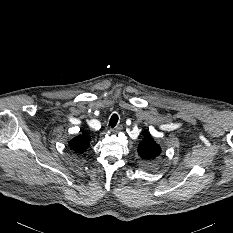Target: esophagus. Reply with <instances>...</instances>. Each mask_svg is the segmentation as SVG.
Returning a JSON list of instances; mask_svg holds the SVG:
<instances>
[{
    "mask_svg": "<svg viewBox=\"0 0 233 233\" xmlns=\"http://www.w3.org/2000/svg\"><path fill=\"white\" fill-rule=\"evenodd\" d=\"M122 129H123V126H122V125H118V126H116V127L114 128V131L119 132V131H121Z\"/></svg>",
    "mask_w": 233,
    "mask_h": 233,
    "instance_id": "1",
    "label": "esophagus"
}]
</instances>
